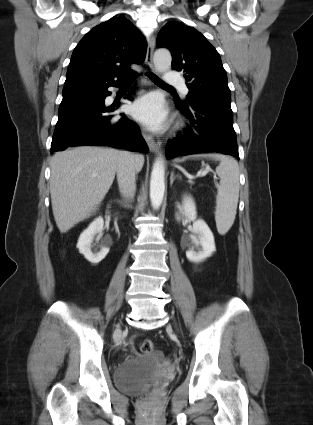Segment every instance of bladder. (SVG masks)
<instances>
[{
	"instance_id": "1",
	"label": "bladder",
	"mask_w": 313,
	"mask_h": 425,
	"mask_svg": "<svg viewBox=\"0 0 313 425\" xmlns=\"http://www.w3.org/2000/svg\"><path fill=\"white\" fill-rule=\"evenodd\" d=\"M164 357L161 353L128 358L116 367L115 386L128 394H142L159 385L158 370Z\"/></svg>"
}]
</instances>
